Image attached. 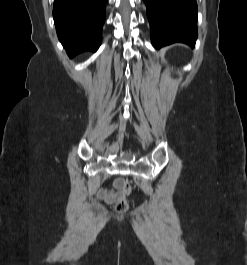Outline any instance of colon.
Segmentation results:
<instances>
[{"instance_id": "colon-1", "label": "colon", "mask_w": 247, "mask_h": 265, "mask_svg": "<svg viewBox=\"0 0 247 265\" xmlns=\"http://www.w3.org/2000/svg\"><path fill=\"white\" fill-rule=\"evenodd\" d=\"M122 195L120 199L115 204V210L117 213H124L128 208L127 196L131 193L132 187L131 184L126 181H121Z\"/></svg>"}]
</instances>
